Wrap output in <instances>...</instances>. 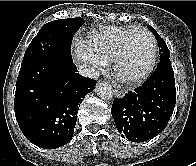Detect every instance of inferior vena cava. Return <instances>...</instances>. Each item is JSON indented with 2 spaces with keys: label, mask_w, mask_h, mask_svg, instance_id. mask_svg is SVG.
<instances>
[{
  "label": "inferior vena cava",
  "mask_w": 196,
  "mask_h": 166,
  "mask_svg": "<svg viewBox=\"0 0 196 166\" xmlns=\"http://www.w3.org/2000/svg\"><path fill=\"white\" fill-rule=\"evenodd\" d=\"M79 74H81L84 77L95 79L99 77V71H97L94 67L90 65H80L78 67Z\"/></svg>",
  "instance_id": "obj_1"
}]
</instances>
